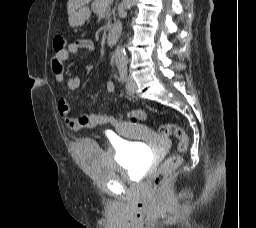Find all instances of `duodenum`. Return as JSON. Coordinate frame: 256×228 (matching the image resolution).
Wrapping results in <instances>:
<instances>
[{"mask_svg": "<svg viewBox=\"0 0 256 228\" xmlns=\"http://www.w3.org/2000/svg\"><path fill=\"white\" fill-rule=\"evenodd\" d=\"M121 34V27L120 26H115L113 27L107 34L106 36V43L109 46H113L119 39Z\"/></svg>", "mask_w": 256, "mask_h": 228, "instance_id": "duodenum-1", "label": "duodenum"}]
</instances>
